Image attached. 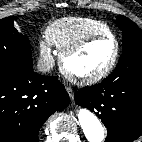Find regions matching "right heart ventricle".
I'll use <instances>...</instances> for the list:
<instances>
[{"mask_svg":"<svg viewBox=\"0 0 142 142\" xmlns=\"http://www.w3.org/2000/svg\"><path fill=\"white\" fill-rule=\"evenodd\" d=\"M96 34H112L107 24L92 18L69 17L52 23L46 30L49 42L60 52Z\"/></svg>","mask_w":142,"mask_h":142,"instance_id":"obj_1","label":"right heart ventricle"}]
</instances>
